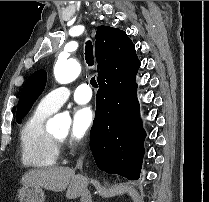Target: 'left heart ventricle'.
<instances>
[{
	"label": "left heart ventricle",
	"instance_id": "b2bd125f",
	"mask_svg": "<svg viewBox=\"0 0 209 202\" xmlns=\"http://www.w3.org/2000/svg\"><path fill=\"white\" fill-rule=\"evenodd\" d=\"M55 136L58 138H64L65 135L64 134H56Z\"/></svg>",
	"mask_w": 209,
	"mask_h": 202
}]
</instances>
